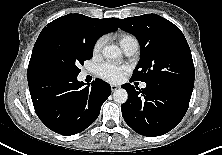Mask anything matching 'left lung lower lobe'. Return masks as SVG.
Segmentation results:
<instances>
[{
    "mask_svg": "<svg viewBox=\"0 0 222 155\" xmlns=\"http://www.w3.org/2000/svg\"><path fill=\"white\" fill-rule=\"evenodd\" d=\"M128 100L121 105L126 123L138 134L147 137L163 135L184 117L192 92L164 84H147L138 89L130 83L121 86Z\"/></svg>",
    "mask_w": 222,
    "mask_h": 155,
    "instance_id": "1",
    "label": "left lung lower lobe"
}]
</instances>
